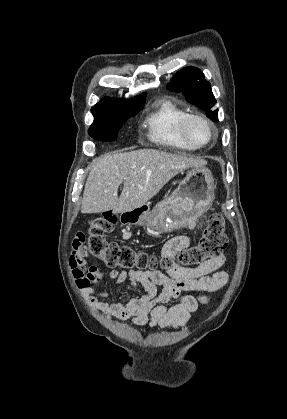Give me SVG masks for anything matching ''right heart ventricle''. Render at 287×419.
Returning a JSON list of instances; mask_svg holds the SVG:
<instances>
[{"instance_id": "right-heart-ventricle-1", "label": "right heart ventricle", "mask_w": 287, "mask_h": 419, "mask_svg": "<svg viewBox=\"0 0 287 419\" xmlns=\"http://www.w3.org/2000/svg\"><path fill=\"white\" fill-rule=\"evenodd\" d=\"M186 111L168 98L157 100L147 113L144 125L148 138L155 144L181 150H194L179 132V122Z\"/></svg>"}]
</instances>
